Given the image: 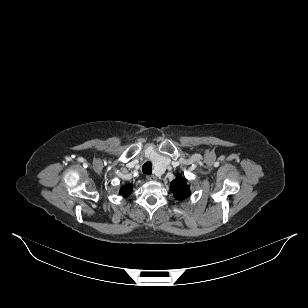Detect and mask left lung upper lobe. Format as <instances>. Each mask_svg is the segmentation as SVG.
<instances>
[{"mask_svg":"<svg viewBox=\"0 0 308 308\" xmlns=\"http://www.w3.org/2000/svg\"><path fill=\"white\" fill-rule=\"evenodd\" d=\"M186 181L185 178L178 174L176 179L171 183V191L179 200L186 199L190 195V186L186 184Z\"/></svg>","mask_w":308,"mask_h":308,"instance_id":"5c2ea615","label":"left lung upper lobe"}]
</instances>
